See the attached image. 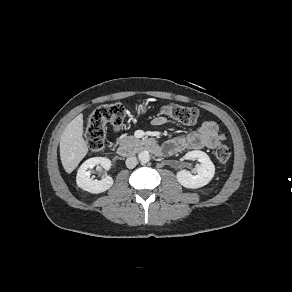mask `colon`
<instances>
[{"instance_id": "colon-1", "label": "colon", "mask_w": 292, "mask_h": 292, "mask_svg": "<svg viewBox=\"0 0 292 292\" xmlns=\"http://www.w3.org/2000/svg\"><path fill=\"white\" fill-rule=\"evenodd\" d=\"M160 115L170 118L185 125L195 124L199 111L195 108L176 104H166L160 108ZM127 110L121 103L102 105L92 111L87 120L85 138L88 146L94 152L104 149L107 126L119 131L125 126ZM231 155L227 136L220 134L218 137L215 156L220 162H226Z\"/></svg>"}]
</instances>
